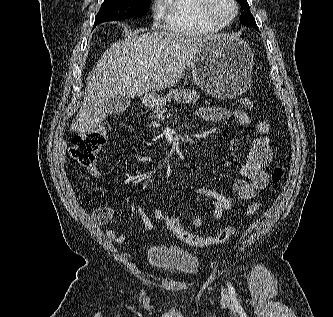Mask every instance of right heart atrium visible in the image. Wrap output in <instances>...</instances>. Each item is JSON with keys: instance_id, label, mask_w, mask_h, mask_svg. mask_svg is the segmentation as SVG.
Here are the masks:
<instances>
[{"instance_id": "d8ad5b80", "label": "right heart atrium", "mask_w": 333, "mask_h": 317, "mask_svg": "<svg viewBox=\"0 0 333 317\" xmlns=\"http://www.w3.org/2000/svg\"><path fill=\"white\" fill-rule=\"evenodd\" d=\"M156 11H157V6L155 5V6H154V12H156Z\"/></svg>"}]
</instances>
